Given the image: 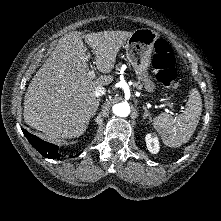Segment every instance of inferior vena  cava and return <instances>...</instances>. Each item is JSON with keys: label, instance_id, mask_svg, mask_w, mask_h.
<instances>
[{"label": "inferior vena cava", "instance_id": "inferior-vena-cava-1", "mask_svg": "<svg viewBox=\"0 0 221 221\" xmlns=\"http://www.w3.org/2000/svg\"><path fill=\"white\" fill-rule=\"evenodd\" d=\"M105 93H106V90H105L104 87H102V86H97V87L95 88L94 95H95L96 97L103 96V95H105Z\"/></svg>", "mask_w": 221, "mask_h": 221}]
</instances>
